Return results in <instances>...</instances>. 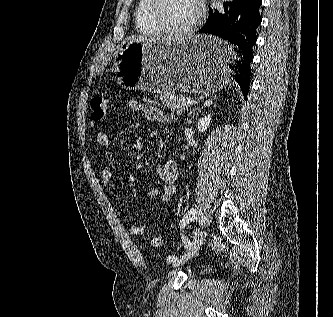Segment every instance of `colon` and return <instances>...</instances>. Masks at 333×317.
I'll return each instance as SVG.
<instances>
[{"label":"colon","mask_w":333,"mask_h":317,"mask_svg":"<svg viewBox=\"0 0 333 317\" xmlns=\"http://www.w3.org/2000/svg\"><path fill=\"white\" fill-rule=\"evenodd\" d=\"M90 105H91L90 120L92 125H96L99 122H101L108 113L110 108V101L107 97L95 96L92 98ZM161 241L162 240L160 236H154L151 240V243L153 246L157 247L160 246Z\"/></svg>","instance_id":"colon-1"}]
</instances>
